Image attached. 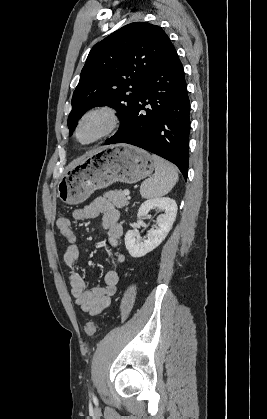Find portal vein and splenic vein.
Returning <instances> with one entry per match:
<instances>
[{
    "label": "portal vein and splenic vein",
    "mask_w": 267,
    "mask_h": 419,
    "mask_svg": "<svg viewBox=\"0 0 267 419\" xmlns=\"http://www.w3.org/2000/svg\"><path fill=\"white\" fill-rule=\"evenodd\" d=\"M125 195H127V196H129V194H130V191L129 190H124V192H123Z\"/></svg>",
    "instance_id": "18ae733b"
}]
</instances>
